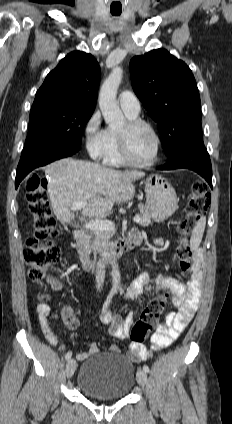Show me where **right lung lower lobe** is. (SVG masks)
Returning <instances> with one entry per match:
<instances>
[{
	"label": "right lung lower lobe",
	"mask_w": 232,
	"mask_h": 424,
	"mask_svg": "<svg viewBox=\"0 0 232 424\" xmlns=\"http://www.w3.org/2000/svg\"><path fill=\"white\" fill-rule=\"evenodd\" d=\"M80 150L78 145L42 144L22 154L19 161L15 187L17 188L22 179L33 169L44 166L55 160L71 156Z\"/></svg>",
	"instance_id": "obj_1"
}]
</instances>
